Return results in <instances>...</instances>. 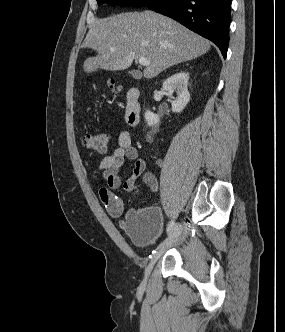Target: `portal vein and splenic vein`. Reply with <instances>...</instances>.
Masks as SVG:
<instances>
[{
	"label": "portal vein and splenic vein",
	"instance_id": "obj_1",
	"mask_svg": "<svg viewBox=\"0 0 285 332\" xmlns=\"http://www.w3.org/2000/svg\"><path fill=\"white\" fill-rule=\"evenodd\" d=\"M114 51H115L114 48H110V52H114ZM139 63H140V65H143V66H148L150 64V62L146 58H140Z\"/></svg>",
	"mask_w": 285,
	"mask_h": 332
}]
</instances>
